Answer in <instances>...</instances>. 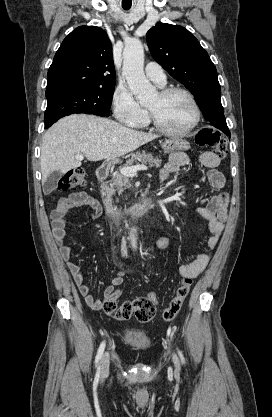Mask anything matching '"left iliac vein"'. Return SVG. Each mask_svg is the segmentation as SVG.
Segmentation results:
<instances>
[{"mask_svg":"<svg viewBox=\"0 0 272 417\" xmlns=\"http://www.w3.org/2000/svg\"><path fill=\"white\" fill-rule=\"evenodd\" d=\"M172 359H173V363H174L176 369L178 370L180 368V363H179V360H178L177 356L173 355Z\"/></svg>","mask_w":272,"mask_h":417,"instance_id":"obj_1","label":"left iliac vein"}]
</instances>
